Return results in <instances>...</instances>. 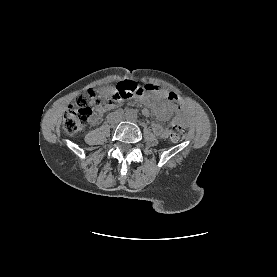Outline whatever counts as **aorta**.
Segmentation results:
<instances>
[{"instance_id":"762f6f07","label":"aorta","mask_w":277,"mask_h":277,"mask_svg":"<svg viewBox=\"0 0 277 277\" xmlns=\"http://www.w3.org/2000/svg\"><path fill=\"white\" fill-rule=\"evenodd\" d=\"M125 118L128 121H135L137 119V111L135 109H128L125 112Z\"/></svg>"}]
</instances>
